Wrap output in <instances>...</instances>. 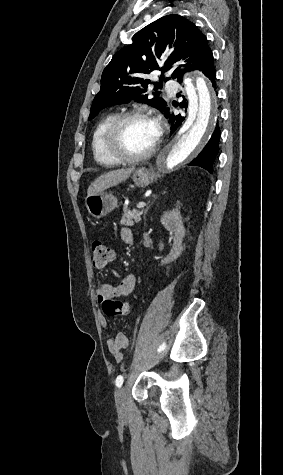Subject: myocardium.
<instances>
[{
    "label": "myocardium",
    "mask_w": 283,
    "mask_h": 475,
    "mask_svg": "<svg viewBox=\"0 0 283 475\" xmlns=\"http://www.w3.org/2000/svg\"><path fill=\"white\" fill-rule=\"evenodd\" d=\"M138 117H146V118H153L152 114L150 112H146L143 110H132V111H127L119 114L110 124L108 127L103 143H102V151L106 152L110 146H112L118 138L119 131L122 127V125L133 118H138ZM160 134H161V129L159 128V133L157 136V139L154 143V145L151 147V149L146 152L145 154L138 156V157H105L104 162H135V165L142 164L146 161H148L158 150L160 146Z\"/></svg>",
    "instance_id": "f54148a6"
}]
</instances>
